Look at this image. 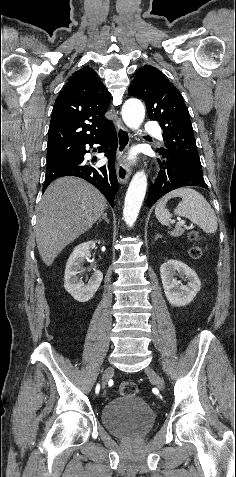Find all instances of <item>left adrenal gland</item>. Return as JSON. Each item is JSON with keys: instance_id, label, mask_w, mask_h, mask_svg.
I'll return each instance as SVG.
<instances>
[{"instance_id": "left-adrenal-gland-1", "label": "left adrenal gland", "mask_w": 236, "mask_h": 477, "mask_svg": "<svg viewBox=\"0 0 236 477\" xmlns=\"http://www.w3.org/2000/svg\"><path fill=\"white\" fill-rule=\"evenodd\" d=\"M158 238H162L160 234H156L155 240H157Z\"/></svg>"}]
</instances>
